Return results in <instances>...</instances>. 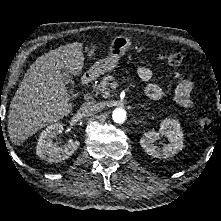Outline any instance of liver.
I'll return each mask as SVG.
<instances>
[{
	"label": "liver",
	"instance_id": "1",
	"mask_svg": "<svg viewBox=\"0 0 221 221\" xmlns=\"http://www.w3.org/2000/svg\"><path fill=\"white\" fill-rule=\"evenodd\" d=\"M83 44L74 42L45 53L30 66L12 98L8 134L19 146L39 129L67 116L73 109L61 70L78 76L84 65ZM95 46L89 53L94 55Z\"/></svg>",
	"mask_w": 221,
	"mask_h": 221
}]
</instances>
